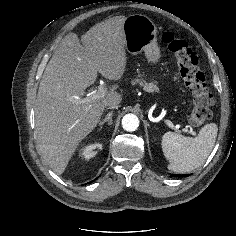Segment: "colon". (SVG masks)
Segmentation results:
<instances>
[{
  "label": "colon",
  "instance_id": "1",
  "mask_svg": "<svg viewBox=\"0 0 236 236\" xmlns=\"http://www.w3.org/2000/svg\"><path fill=\"white\" fill-rule=\"evenodd\" d=\"M162 40L173 53L180 77L192 94L194 107L190 123L200 126L210 119L214 98L204 74L198 68V57L185 40L177 38L171 32H165Z\"/></svg>",
  "mask_w": 236,
  "mask_h": 236
}]
</instances>
